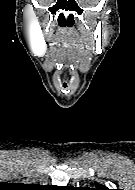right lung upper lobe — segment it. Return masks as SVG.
Wrapping results in <instances>:
<instances>
[{
    "label": "right lung upper lobe",
    "mask_w": 135,
    "mask_h": 190,
    "mask_svg": "<svg viewBox=\"0 0 135 190\" xmlns=\"http://www.w3.org/2000/svg\"><path fill=\"white\" fill-rule=\"evenodd\" d=\"M34 188L42 189V188L40 187V185H34Z\"/></svg>",
    "instance_id": "cb5924a9"
}]
</instances>
